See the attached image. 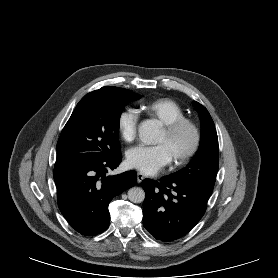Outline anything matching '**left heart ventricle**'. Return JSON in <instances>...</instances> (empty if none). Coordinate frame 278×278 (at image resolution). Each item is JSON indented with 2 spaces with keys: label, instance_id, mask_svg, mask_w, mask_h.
Listing matches in <instances>:
<instances>
[{
  "label": "left heart ventricle",
  "instance_id": "left-heart-ventricle-1",
  "mask_svg": "<svg viewBox=\"0 0 278 278\" xmlns=\"http://www.w3.org/2000/svg\"><path fill=\"white\" fill-rule=\"evenodd\" d=\"M192 141L191 133L188 129H183L175 136L168 138L162 131L156 140L157 144L163 145L171 160L174 159L176 156L180 155L181 153L185 152Z\"/></svg>",
  "mask_w": 278,
  "mask_h": 278
}]
</instances>
